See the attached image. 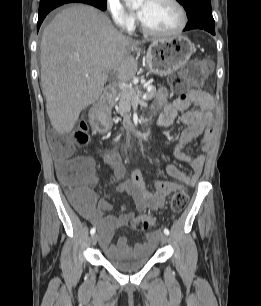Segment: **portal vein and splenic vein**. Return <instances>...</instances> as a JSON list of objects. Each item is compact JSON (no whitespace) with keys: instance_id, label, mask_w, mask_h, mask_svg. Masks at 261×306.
I'll use <instances>...</instances> for the list:
<instances>
[{"instance_id":"1","label":"portal vein and splenic vein","mask_w":261,"mask_h":306,"mask_svg":"<svg viewBox=\"0 0 261 306\" xmlns=\"http://www.w3.org/2000/svg\"><path fill=\"white\" fill-rule=\"evenodd\" d=\"M118 86H119V88H120L121 90H124V91H129V90H131V88H132L130 85H128V84H126V83H124V82H119ZM142 99L145 100V99H146V96H143ZM138 103L141 104V105H143V106H147V105H148L147 103H145V102H143L142 100H140V99L137 98V104H138Z\"/></svg>"}]
</instances>
